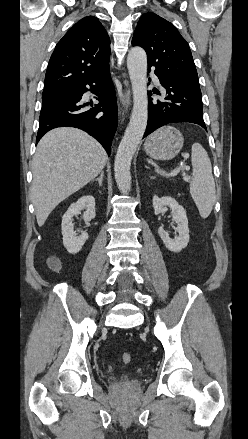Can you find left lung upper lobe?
<instances>
[{
	"instance_id": "1",
	"label": "left lung upper lobe",
	"mask_w": 248,
	"mask_h": 439,
	"mask_svg": "<svg viewBox=\"0 0 248 439\" xmlns=\"http://www.w3.org/2000/svg\"><path fill=\"white\" fill-rule=\"evenodd\" d=\"M132 45L146 51L148 66L155 67V71L199 87L188 43L164 18L152 12L143 14L135 29Z\"/></svg>"
}]
</instances>
